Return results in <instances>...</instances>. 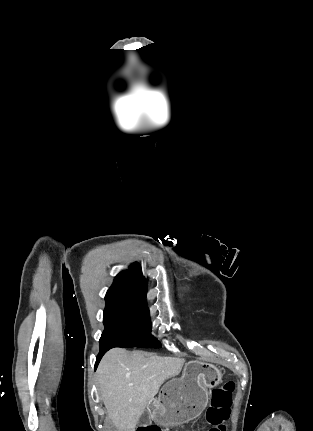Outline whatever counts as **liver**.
Listing matches in <instances>:
<instances>
[{"instance_id": "obj_1", "label": "liver", "mask_w": 313, "mask_h": 431, "mask_svg": "<svg viewBox=\"0 0 313 431\" xmlns=\"http://www.w3.org/2000/svg\"><path fill=\"white\" fill-rule=\"evenodd\" d=\"M183 358L114 348L101 360L99 391L108 418L120 431H135L139 418L165 380L178 375Z\"/></svg>"}]
</instances>
